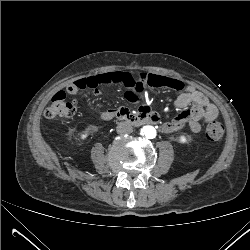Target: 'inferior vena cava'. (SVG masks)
Returning a JSON list of instances; mask_svg holds the SVG:
<instances>
[{
  "label": "inferior vena cava",
  "mask_w": 250,
  "mask_h": 250,
  "mask_svg": "<svg viewBox=\"0 0 250 250\" xmlns=\"http://www.w3.org/2000/svg\"><path fill=\"white\" fill-rule=\"evenodd\" d=\"M117 133L118 134H130L132 133L133 131V127L130 123L128 122H120L118 125H117Z\"/></svg>",
  "instance_id": "obj_1"
}]
</instances>
